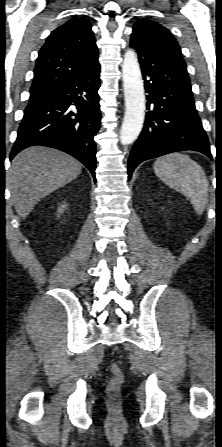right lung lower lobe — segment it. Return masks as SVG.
Here are the masks:
<instances>
[{"label": "right lung lower lobe", "instance_id": "98d812e1", "mask_svg": "<svg viewBox=\"0 0 222 447\" xmlns=\"http://www.w3.org/2000/svg\"><path fill=\"white\" fill-rule=\"evenodd\" d=\"M100 65L49 97L30 103L24 111L10 160L24 148L43 145L64 151L82 162L95 178L96 145L100 127Z\"/></svg>", "mask_w": 222, "mask_h": 447}]
</instances>
